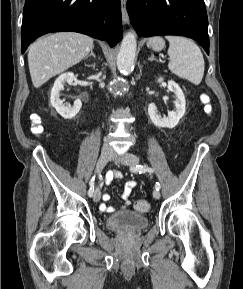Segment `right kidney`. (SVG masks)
<instances>
[{"mask_svg": "<svg viewBox=\"0 0 243 289\" xmlns=\"http://www.w3.org/2000/svg\"><path fill=\"white\" fill-rule=\"evenodd\" d=\"M74 79L75 76L72 72L63 73L55 80L51 90L50 103L64 119H72L82 107V102L79 99L75 100L72 107L63 105V101L60 99V91L64 89V83L71 85Z\"/></svg>", "mask_w": 243, "mask_h": 289, "instance_id": "1", "label": "right kidney"}]
</instances>
